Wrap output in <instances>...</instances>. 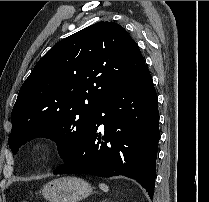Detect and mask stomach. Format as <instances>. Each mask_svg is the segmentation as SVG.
<instances>
[{
	"label": "stomach",
	"instance_id": "1",
	"mask_svg": "<svg viewBox=\"0 0 209 202\" xmlns=\"http://www.w3.org/2000/svg\"><path fill=\"white\" fill-rule=\"evenodd\" d=\"M40 193L49 202H79L92 193V187L83 179L62 177L46 183Z\"/></svg>",
	"mask_w": 209,
	"mask_h": 202
}]
</instances>
